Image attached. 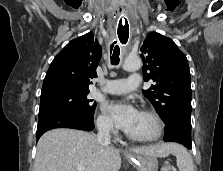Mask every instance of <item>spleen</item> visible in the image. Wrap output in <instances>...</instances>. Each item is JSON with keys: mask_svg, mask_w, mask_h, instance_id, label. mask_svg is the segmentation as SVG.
<instances>
[{"mask_svg": "<svg viewBox=\"0 0 223 171\" xmlns=\"http://www.w3.org/2000/svg\"><path fill=\"white\" fill-rule=\"evenodd\" d=\"M173 154L176 156L179 171H194L192 157L185 148L174 144Z\"/></svg>", "mask_w": 223, "mask_h": 171, "instance_id": "3e777b00", "label": "spleen"}]
</instances>
